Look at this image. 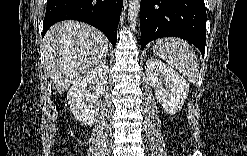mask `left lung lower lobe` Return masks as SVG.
Returning <instances> with one entry per match:
<instances>
[{
	"mask_svg": "<svg viewBox=\"0 0 247 156\" xmlns=\"http://www.w3.org/2000/svg\"><path fill=\"white\" fill-rule=\"evenodd\" d=\"M140 29L141 49L156 38L175 36L193 43L204 56V0H141Z\"/></svg>",
	"mask_w": 247,
	"mask_h": 156,
	"instance_id": "0a47b994",
	"label": "left lung lower lobe"
}]
</instances>
